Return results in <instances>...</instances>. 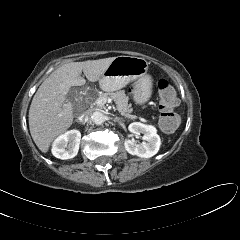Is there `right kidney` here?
<instances>
[{
  "label": "right kidney",
  "instance_id": "obj_1",
  "mask_svg": "<svg viewBox=\"0 0 240 240\" xmlns=\"http://www.w3.org/2000/svg\"><path fill=\"white\" fill-rule=\"evenodd\" d=\"M81 133L70 130L58 136L52 145V154L59 159L66 160L75 157L79 150Z\"/></svg>",
  "mask_w": 240,
  "mask_h": 240
}]
</instances>
